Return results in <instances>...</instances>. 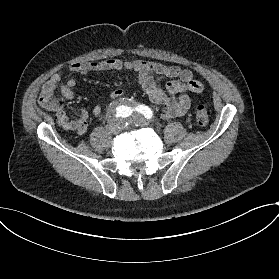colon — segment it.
<instances>
[{
    "instance_id": "colon-1",
    "label": "colon",
    "mask_w": 279,
    "mask_h": 279,
    "mask_svg": "<svg viewBox=\"0 0 279 279\" xmlns=\"http://www.w3.org/2000/svg\"><path fill=\"white\" fill-rule=\"evenodd\" d=\"M195 120L199 127L207 126L209 122V114L205 106L199 105L195 113Z\"/></svg>"
}]
</instances>
